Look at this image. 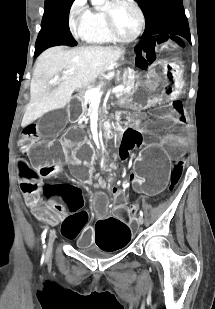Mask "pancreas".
<instances>
[{"mask_svg":"<svg viewBox=\"0 0 215 309\" xmlns=\"http://www.w3.org/2000/svg\"><path fill=\"white\" fill-rule=\"evenodd\" d=\"M135 72L136 70H131V74H133L134 78H127V80H122V84H126V86H131V88H133L134 86V82H135ZM106 82L105 80H98V84H91L90 88H88V90H91V88H103V86H105ZM124 94H127V92H123V94H120V96H117V102L116 104H124L126 98L124 96ZM81 96H88V94H84V92H81ZM85 108H83L84 110V114L85 116H90V114H92L94 108H98V106H96V104H94L92 98H90V96H88V100H87V104H84ZM100 112V110H99Z\"/></svg>","mask_w":215,"mask_h":309,"instance_id":"1","label":"pancreas"}]
</instances>
